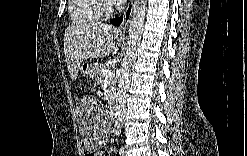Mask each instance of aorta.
<instances>
[{"instance_id": "762f6f07", "label": "aorta", "mask_w": 247, "mask_h": 156, "mask_svg": "<svg viewBox=\"0 0 247 156\" xmlns=\"http://www.w3.org/2000/svg\"><path fill=\"white\" fill-rule=\"evenodd\" d=\"M145 11L146 0H135L133 4V16L129 26L128 44L121 64L122 69L116 94L115 120L118 125L123 124L125 117L126 97L130 85L132 67L137 58V50L144 28Z\"/></svg>"}]
</instances>
